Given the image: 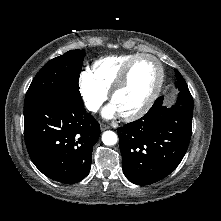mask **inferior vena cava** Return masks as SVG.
Wrapping results in <instances>:
<instances>
[{"instance_id": "inferior-vena-cava-1", "label": "inferior vena cava", "mask_w": 221, "mask_h": 221, "mask_svg": "<svg viewBox=\"0 0 221 221\" xmlns=\"http://www.w3.org/2000/svg\"><path fill=\"white\" fill-rule=\"evenodd\" d=\"M99 105L98 104H91L89 107H88V109L90 110V111H97L98 109H99Z\"/></svg>"}]
</instances>
